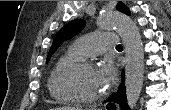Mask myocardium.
Listing matches in <instances>:
<instances>
[{
	"label": "myocardium",
	"instance_id": "1",
	"mask_svg": "<svg viewBox=\"0 0 171 110\" xmlns=\"http://www.w3.org/2000/svg\"><path fill=\"white\" fill-rule=\"evenodd\" d=\"M82 69H94L91 62L78 60L65 66L59 74V85L62 91L67 94L73 101L83 104H94L102 101L108 95L105 90L101 95L95 97H86L80 94L72 85V77Z\"/></svg>",
	"mask_w": 171,
	"mask_h": 110
}]
</instances>
